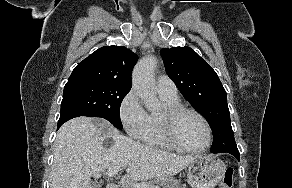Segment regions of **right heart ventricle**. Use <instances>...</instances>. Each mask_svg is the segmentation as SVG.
Here are the masks:
<instances>
[{"label":"right heart ventricle","mask_w":292,"mask_h":188,"mask_svg":"<svg viewBox=\"0 0 292 188\" xmlns=\"http://www.w3.org/2000/svg\"><path fill=\"white\" fill-rule=\"evenodd\" d=\"M160 98L162 99L166 107H174V106L180 105L178 97L169 98V97L160 95ZM159 115L160 114H156V113L148 114V124L140 139L146 145L173 149L174 147H172L166 141V139L163 137L161 133L160 126H159Z\"/></svg>","instance_id":"1"}]
</instances>
